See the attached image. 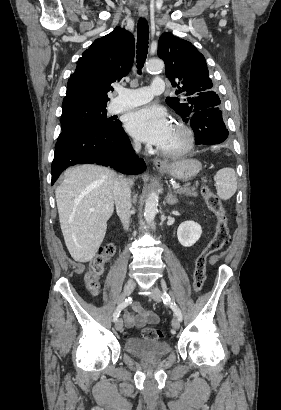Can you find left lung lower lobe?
Segmentation results:
<instances>
[{
	"label": "left lung lower lobe",
	"mask_w": 281,
	"mask_h": 410,
	"mask_svg": "<svg viewBox=\"0 0 281 410\" xmlns=\"http://www.w3.org/2000/svg\"><path fill=\"white\" fill-rule=\"evenodd\" d=\"M195 134L197 145H213L222 143L228 137V130L222 119L219 107L205 108L195 111L186 122Z\"/></svg>",
	"instance_id": "1"
}]
</instances>
